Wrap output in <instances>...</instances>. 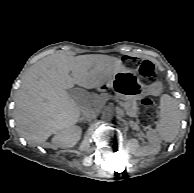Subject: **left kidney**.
Listing matches in <instances>:
<instances>
[{"mask_svg":"<svg viewBox=\"0 0 194 193\" xmlns=\"http://www.w3.org/2000/svg\"><path fill=\"white\" fill-rule=\"evenodd\" d=\"M148 143L141 147L136 139H130L127 143L130 152L136 157L155 155L160 151L161 139L154 130H149L146 133Z\"/></svg>","mask_w":194,"mask_h":193,"instance_id":"obj_1","label":"left kidney"}]
</instances>
